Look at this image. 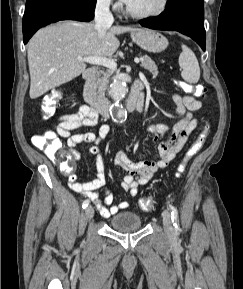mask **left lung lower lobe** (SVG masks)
Masks as SVG:
<instances>
[{"instance_id":"1","label":"left lung lower lobe","mask_w":243,"mask_h":289,"mask_svg":"<svg viewBox=\"0 0 243 289\" xmlns=\"http://www.w3.org/2000/svg\"><path fill=\"white\" fill-rule=\"evenodd\" d=\"M139 23L151 29L183 33L205 50L203 0H168L166 9L159 16L140 20Z\"/></svg>"}]
</instances>
